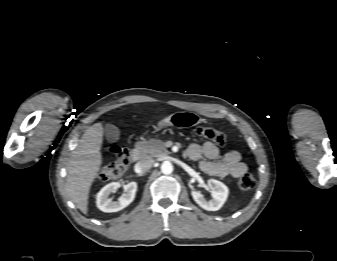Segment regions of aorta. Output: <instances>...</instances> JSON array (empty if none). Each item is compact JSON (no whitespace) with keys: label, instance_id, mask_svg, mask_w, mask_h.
<instances>
[{"label":"aorta","instance_id":"1","mask_svg":"<svg viewBox=\"0 0 337 261\" xmlns=\"http://www.w3.org/2000/svg\"><path fill=\"white\" fill-rule=\"evenodd\" d=\"M161 171L163 174H171L173 171V165L170 161H164L161 165Z\"/></svg>","mask_w":337,"mask_h":261}]
</instances>
